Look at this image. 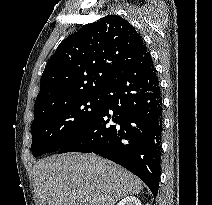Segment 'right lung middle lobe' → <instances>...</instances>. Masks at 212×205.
<instances>
[{
  "label": "right lung middle lobe",
  "instance_id": "1",
  "mask_svg": "<svg viewBox=\"0 0 212 205\" xmlns=\"http://www.w3.org/2000/svg\"><path fill=\"white\" fill-rule=\"evenodd\" d=\"M101 93L84 96L34 117L31 150L35 156L58 151L99 112Z\"/></svg>",
  "mask_w": 212,
  "mask_h": 205
}]
</instances>
